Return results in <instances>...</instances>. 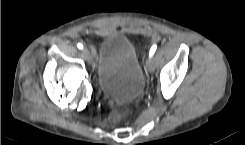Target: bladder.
Segmentation results:
<instances>
[{"instance_id":"1","label":"bladder","mask_w":245,"mask_h":145,"mask_svg":"<svg viewBox=\"0 0 245 145\" xmlns=\"http://www.w3.org/2000/svg\"><path fill=\"white\" fill-rule=\"evenodd\" d=\"M97 78L101 91L112 100H132L141 94L144 75L129 38L118 33L105 36L98 53Z\"/></svg>"}]
</instances>
